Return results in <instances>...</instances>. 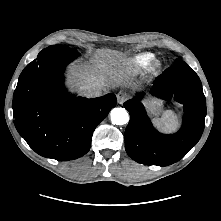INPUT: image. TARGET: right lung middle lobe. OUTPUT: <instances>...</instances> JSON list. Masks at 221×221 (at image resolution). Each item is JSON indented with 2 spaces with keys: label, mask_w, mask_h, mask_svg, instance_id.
<instances>
[{
  "label": "right lung middle lobe",
  "mask_w": 221,
  "mask_h": 221,
  "mask_svg": "<svg viewBox=\"0 0 221 221\" xmlns=\"http://www.w3.org/2000/svg\"><path fill=\"white\" fill-rule=\"evenodd\" d=\"M44 50H55V51H76L74 49L69 48L68 46L65 45H53L49 46L48 48Z\"/></svg>",
  "instance_id": "right-lung-middle-lobe-1"
}]
</instances>
